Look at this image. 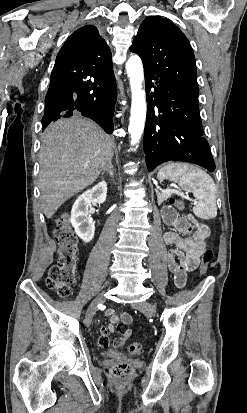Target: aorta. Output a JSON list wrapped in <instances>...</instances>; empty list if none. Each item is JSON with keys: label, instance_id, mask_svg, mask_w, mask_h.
I'll use <instances>...</instances> for the list:
<instances>
[{"label": "aorta", "instance_id": "1", "mask_svg": "<svg viewBox=\"0 0 247 413\" xmlns=\"http://www.w3.org/2000/svg\"><path fill=\"white\" fill-rule=\"evenodd\" d=\"M126 71L130 79L132 103L128 131L131 135V145H136L142 136L146 120V98L143 90L144 71L139 56L132 55L126 63Z\"/></svg>", "mask_w": 247, "mask_h": 413}]
</instances>
